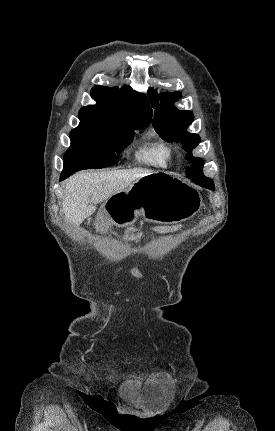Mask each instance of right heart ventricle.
I'll return each mask as SVG.
<instances>
[{
	"label": "right heart ventricle",
	"instance_id": "right-heart-ventricle-1",
	"mask_svg": "<svg viewBox=\"0 0 275 431\" xmlns=\"http://www.w3.org/2000/svg\"><path fill=\"white\" fill-rule=\"evenodd\" d=\"M140 157L148 164L167 167L172 157V150L164 142H158L143 151Z\"/></svg>",
	"mask_w": 275,
	"mask_h": 431
}]
</instances>
